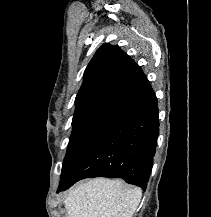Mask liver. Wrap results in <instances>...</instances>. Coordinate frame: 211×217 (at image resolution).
Returning a JSON list of instances; mask_svg holds the SVG:
<instances>
[{
	"mask_svg": "<svg viewBox=\"0 0 211 217\" xmlns=\"http://www.w3.org/2000/svg\"><path fill=\"white\" fill-rule=\"evenodd\" d=\"M142 197L138 187L95 178L71 189L64 201L67 217H133Z\"/></svg>",
	"mask_w": 211,
	"mask_h": 217,
	"instance_id": "6515ba94",
	"label": "liver"
}]
</instances>
